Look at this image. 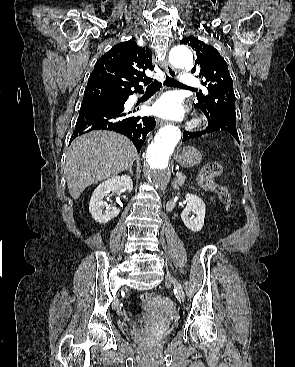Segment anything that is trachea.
<instances>
[{
  "label": "trachea",
  "instance_id": "trachea-1",
  "mask_svg": "<svg viewBox=\"0 0 295 367\" xmlns=\"http://www.w3.org/2000/svg\"><path fill=\"white\" fill-rule=\"evenodd\" d=\"M164 84H166L167 86H176V87H186L184 86L182 83L178 82L177 80L170 78L169 76H166V80L164 81ZM162 83L155 80L154 82H152L150 85L147 86L146 91H154L157 90L161 87ZM190 89H194V88H190Z\"/></svg>",
  "mask_w": 295,
  "mask_h": 367
}]
</instances>
